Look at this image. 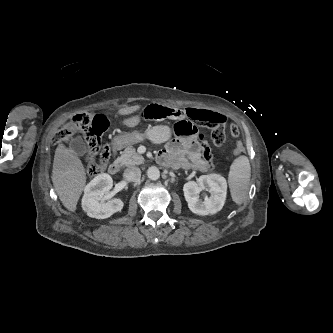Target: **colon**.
<instances>
[{
    "label": "colon",
    "instance_id": "5ec220e1",
    "mask_svg": "<svg viewBox=\"0 0 333 333\" xmlns=\"http://www.w3.org/2000/svg\"><path fill=\"white\" fill-rule=\"evenodd\" d=\"M186 115L193 120H207V115L194 109H187ZM182 112L161 105H149L137 113V120L140 123H148L150 120L180 119ZM212 128L211 141L213 145L220 146L226 140V133L236 136L238 129L235 125H221L219 122H205ZM109 126L108 120L104 116H92L87 113L78 114L73 117L69 127L62 129L57 135V141L63 144H69L75 134L80 133L84 136L88 151L86 157V169L89 175L100 174L106 167L110 157L111 150L108 145L101 144V136ZM177 135L190 137L195 135V127L185 120H181L175 126ZM198 142L201 145V155L207 168H213L212 153L208 145L203 141L201 135L198 136ZM234 153L238 154L244 151L243 143L235 144ZM100 152V160L96 161V155Z\"/></svg>",
    "mask_w": 333,
    "mask_h": 333
}]
</instances>
